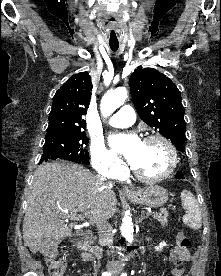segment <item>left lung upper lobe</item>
I'll list each match as a JSON object with an SVG mask.
<instances>
[{
  "mask_svg": "<svg viewBox=\"0 0 221 276\" xmlns=\"http://www.w3.org/2000/svg\"><path fill=\"white\" fill-rule=\"evenodd\" d=\"M132 100L141 119L185 151L184 107L175 84L153 68H138L130 76Z\"/></svg>",
  "mask_w": 221,
  "mask_h": 276,
  "instance_id": "5c2ea615",
  "label": "left lung upper lobe"
}]
</instances>
